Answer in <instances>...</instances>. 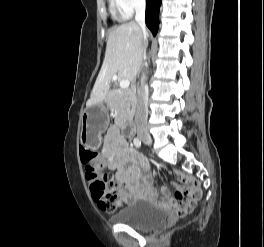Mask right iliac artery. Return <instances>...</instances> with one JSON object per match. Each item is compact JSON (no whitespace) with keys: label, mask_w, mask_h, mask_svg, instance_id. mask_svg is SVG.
Instances as JSON below:
<instances>
[{"label":"right iliac artery","mask_w":264,"mask_h":247,"mask_svg":"<svg viewBox=\"0 0 264 247\" xmlns=\"http://www.w3.org/2000/svg\"><path fill=\"white\" fill-rule=\"evenodd\" d=\"M134 145L137 147V148H140L141 147V140L139 138H134Z\"/></svg>","instance_id":"obj_1"}]
</instances>
